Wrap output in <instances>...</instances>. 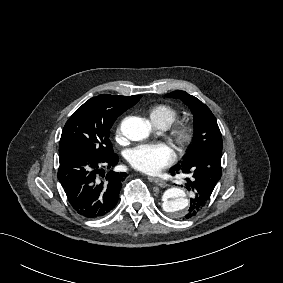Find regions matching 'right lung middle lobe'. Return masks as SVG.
<instances>
[{"label":"right lung middle lobe","mask_w":283,"mask_h":283,"mask_svg":"<svg viewBox=\"0 0 283 283\" xmlns=\"http://www.w3.org/2000/svg\"><path fill=\"white\" fill-rule=\"evenodd\" d=\"M141 99V95L117 96L102 94L85 102L66 122L62 131L59 154L83 149L97 157L113 152L109 140L116 118Z\"/></svg>","instance_id":"dd1d6c3e"}]
</instances>
